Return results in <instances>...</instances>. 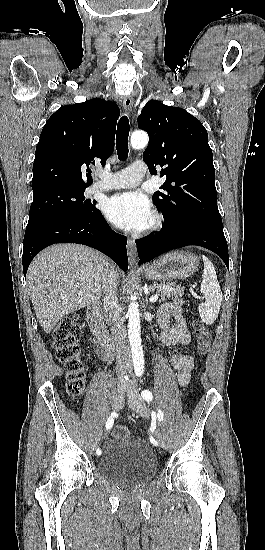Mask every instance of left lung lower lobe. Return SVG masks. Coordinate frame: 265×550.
I'll return each mask as SVG.
<instances>
[{"instance_id":"1","label":"left lung lower lobe","mask_w":265,"mask_h":550,"mask_svg":"<svg viewBox=\"0 0 265 550\" xmlns=\"http://www.w3.org/2000/svg\"><path fill=\"white\" fill-rule=\"evenodd\" d=\"M139 262H148L169 250L197 245L218 254L229 268L228 246L222 225L200 218H184L164 225L156 234L136 240Z\"/></svg>"}]
</instances>
